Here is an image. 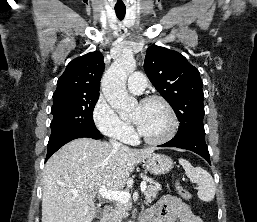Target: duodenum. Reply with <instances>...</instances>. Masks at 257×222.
Here are the masks:
<instances>
[{
  "label": "duodenum",
  "instance_id": "1",
  "mask_svg": "<svg viewBox=\"0 0 257 222\" xmlns=\"http://www.w3.org/2000/svg\"><path fill=\"white\" fill-rule=\"evenodd\" d=\"M111 212V207L109 205H105L103 208V213L97 222H106Z\"/></svg>",
  "mask_w": 257,
  "mask_h": 222
}]
</instances>
